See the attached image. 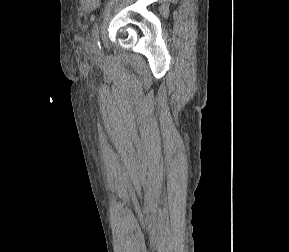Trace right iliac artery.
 Instances as JSON below:
<instances>
[{"label":"right iliac artery","mask_w":289,"mask_h":252,"mask_svg":"<svg viewBox=\"0 0 289 252\" xmlns=\"http://www.w3.org/2000/svg\"><path fill=\"white\" fill-rule=\"evenodd\" d=\"M92 40H93V46L95 50L99 51L101 49L100 41H99V26L98 24H95L92 30Z\"/></svg>","instance_id":"82829eb1"}]
</instances>
